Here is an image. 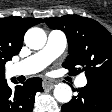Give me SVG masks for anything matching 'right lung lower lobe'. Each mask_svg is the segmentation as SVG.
Here are the masks:
<instances>
[{
    "label": "right lung lower lobe",
    "mask_w": 112,
    "mask_h": 112,
    "mask_svg": "<svg viewBox=\"0 0 112 112\" xmlns=\"http://www.w3.org/2000/svg\"><path fill=\"white\" fill-rule=\"evenodd\" d=\"M42 91L40 78H30L14 90L4 81L0 84V112H32L35 94Z\"/></svg>",
    "instance_id": "right-lung-lower-lobe-1"
}]
</instances>
